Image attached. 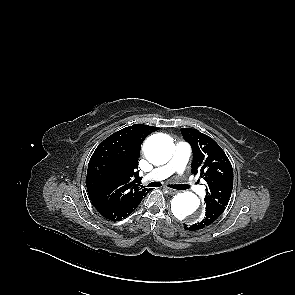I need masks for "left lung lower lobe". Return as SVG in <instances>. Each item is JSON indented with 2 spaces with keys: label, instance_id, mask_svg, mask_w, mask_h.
I'll list each match as a JSON object with an SVG mask.
<instances>
[{
  "label": "left lung lower lobe",
  "instance_id": "1",
  "mask_svg": "<svg viewBox=\"0 0 295 295\" xmlns=\"http://www.w3.org/2000/svg\"><path fill=\"white\" fill-rule=\"evenodd\" d=\"M224 209H225V206L208 204L206 206V214L204 219L191 226L185 225V229L190 231H195V230L203 229L206 226H209L223 213Z\"/></svg>",
  "mask_w": 295,
  "mask_h": 295
}]
</instances>
